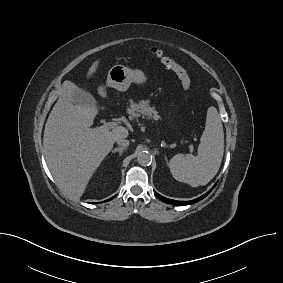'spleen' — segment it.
<instances>
[{"instance_id": "obj_1", "label": "spleen", "mask_w": 283, "mask_h": 283, "mask_svg": "<svg viewBox=\"0 0 283 283\" xmlns=\"http://www.w3.org/2000/svg\"><path fill=\"white\" fill-rule=\"evenodd\" d=\"M224 153V132L220 115L213 106L208 108L206 127L200 138L198 155L177 154L171 158L172 176L192 187L208 184L217 174Z\"/></svg>"}]
</instances>
